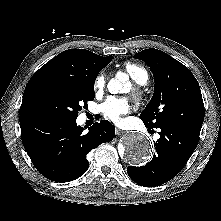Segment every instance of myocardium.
Here are the masks:
<instances>
[{
  "label": "myocardium",
  "instance_id": "1",
  "mask_svg": "<svg viewBox=\"0 0 221 221\" xmlns=\"http://www.w3.org/2000/svg\"><path fill=\"white\" fill-rule=\"evenodd\" d=\"M132 96L135 100H141L142 98V91L138 87L132 88Z\"/></svg>",
  "mask_w": 221,
  "mask_h": 221
}]
</instances>
